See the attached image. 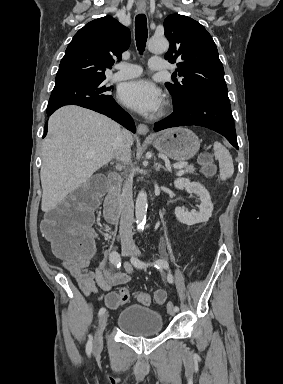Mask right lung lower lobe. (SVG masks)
I'll use <instances>...</instances> for the list:
<instances>
[{"instance_id":"98d812e1","label":"right lung lower lobe","mask_w":283,"mask_h":384,"mask_svg":"<svg viewBox=\"0 0 283 384\" xmlns=\"http://www.w3.org/2000/svg\"><path fill=\"white\" fill-rule=\"evenodd\" d=\"M75 105L85 107L101 114H104L112 118L116 122L120 123L127 129L131 130L132 132L135 133L136 131L135 124L131 116L125 110H123L113 98L101 101L84 102ZM57 109L58 108L47 107V115L50 116ZM46 134L47 124L45 126L44 137L46 136Z\"/></svg>"}]
</instances>
